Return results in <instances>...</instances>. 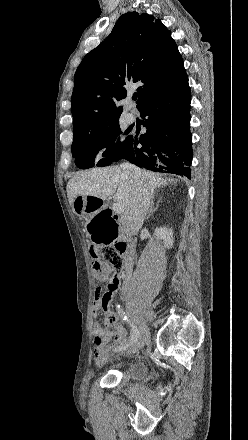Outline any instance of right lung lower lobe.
Wrapping results in <instances>:
<instances>
[{"label":"right lung lower lobe","instance_id":"98d812e1","mask_svg":"<svg viewBox=\"0 0 248 440\" xmlns=\"http://www.w3.org/2000/svg\"><path fill=\"white\" fill-rule=\"evenodd\" d=\"M190 101L187 78L174 88L145 100L138 110L147 131L139 138L130 136L121 159L154 172L182 174L190 179Z\"/></svg>","mask_w":248,"mask_h":440}]
</instances>
